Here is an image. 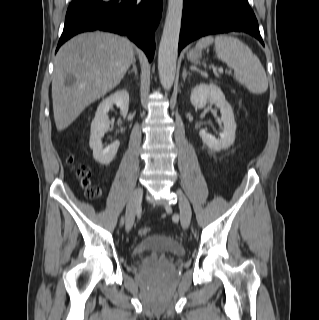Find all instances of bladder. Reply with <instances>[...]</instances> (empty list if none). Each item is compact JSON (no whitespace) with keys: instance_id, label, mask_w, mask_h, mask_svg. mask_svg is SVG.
Masks as SVG:
<instances>
[{"instance_id":"obj_1","label":"bladder","mask_w":319,"mask_h":320,"mask_svg":"<svg viewBox=\"0 0 319 320\" xmlns=\"http://www.w3.org/2000/svg\"><path fill=\"white\" fill-rule=\"evenodd\" d=\"M150 250H158L181 257L185 253L184 247L174 239L160 233H155L143 238L135 247L132 253L137 258Z\"/></svg>"}]
</instances>
